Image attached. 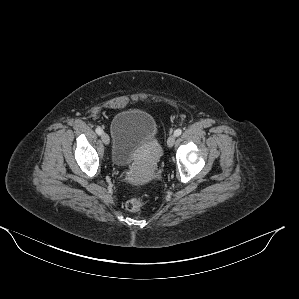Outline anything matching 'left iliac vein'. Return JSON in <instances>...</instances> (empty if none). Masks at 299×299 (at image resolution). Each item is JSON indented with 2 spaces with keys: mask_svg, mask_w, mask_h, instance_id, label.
Here are the masks:
<instances>
[{
  "mask_svg": "<svg viewBox=\"0 0 299 299\" xmlns=\"http://www.w3.org/2000/svg\"><path fill=\"white\" fill-rule=\"evenodd\" d=\"M175 140H176L175 135H171V136H169V138H168V140H167V145H168L169 147H172V146L174 145V143H175Z\"/></svg>",
  "mask_w": 299,
  "mask_h": 299,
  "instance_id": "1",
  "label": "left iliac vein"
}]
</instances>
